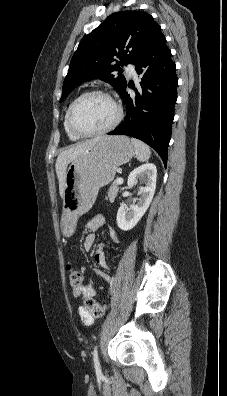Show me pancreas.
<instances>
[{"label": "pancreas", "mask_w": 227, "mask_h": 396, "mask_svg": "<svg viewBox=\"0 0 227 396\" xmlns=\"http://www.w3.org/2000/svg\"><path fill=\"white\" fill-rule=\"evenodd\" d=\"M118 190V184L116 181H114L109 188L108 196L106 197V199H109L110 202H113L117 196Z\"/></svg>", "instance_id": "obj_1"}]
</instances>
